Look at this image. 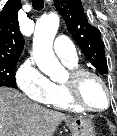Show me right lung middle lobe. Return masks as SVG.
Here are the masks:
<instances>
[{
	"mask_svg": "<svg viewBox=\"0 0 117 136\" xmlns=\"http://www.w3.org/2000/svg\"><path fill=\"white\" fill-rule=\"evenodd\" d=\"M17 60H0V87H15L14 68Z\"/></svg>",
	"mask_w": 117,
	"mask_h": 136,
	"instance_id": "obj_1",
	"label": "right lung middle lobe"
}]
</instances>
